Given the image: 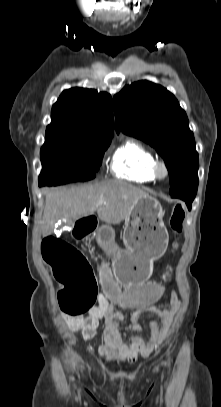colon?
<instances>
[{
    "label": "colon",
    "instance_id": "obj_1",
    "mask_svg": "<svg viewBox=\"0 0 221 407\" xmlns=\"http://www.w3.org/2000/svg\"><path fill=\"white\" fill-rule=\"evenodd\" d=\"M185 208L178 203L174 206L170 227L176 234L183 231ZM98 221L96 216H77L73 225L74 239H94ZM178 244L175 243L176 249ZM42 256L44 261L52 268L53 274L61 287L58 291L60 308L68 316H81L89 311L95 304L98 284L93 270L86 258L68 242L48 237L42 243ZM170 280L173 274L166 271L163 274ZM165 280L152 278L150 283H129L121 291H109L107 298L113 303H119V308L126 311H150L151 306H158L159 300L164 298ZM108 288L113 285L105 280Z\"/></svg>",
    "mask_w": 221,
    "mask_h": 407
}]
</instances>
